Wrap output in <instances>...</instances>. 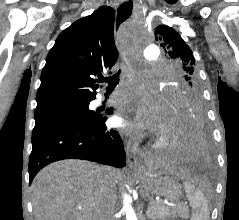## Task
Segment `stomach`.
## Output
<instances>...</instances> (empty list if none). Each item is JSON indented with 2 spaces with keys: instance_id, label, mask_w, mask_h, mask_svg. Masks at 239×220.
Returning a JSON list of instances; mask_svg holds the SVG:
<instances>
[{
  "instance_id": "1",
  "label": "stomach",
  "mask_w": 239,
  "mask_h": 220,
  "mask_svg": "<svg viewBox=\"0 0 239 220\" xmlns=\"http://www.w3.org/2000/svg\"><path fill=\"white\" fill-rule=\"evenodd\" d=\"M152 183H141L142 186H149V191L142 192H153L154 195L165 197L171 201L177 200L182 196V186L174 178H152ZM180 212H171L169 220H178Z\"/></svg>"
}]
</instances>
